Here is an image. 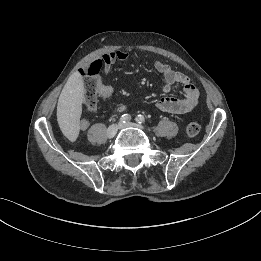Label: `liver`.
Masks as SVG:
<instances>
[{"mask_svg": "<svg viewBox=\"0 0 261 261\" xmlns=\"http://www.w3.org/2000/svg\"><path fill=\"white\" fill-rule=\"evenodd\" d=\"M83 98L82 77L78 73H74L68 78L58 99L57 120L61 129L78 131Z\"/></svg>", "mask_w": 261, "mask_h": 261, "instance_id": "obj_1", "label": "liver"}]
</instances>
